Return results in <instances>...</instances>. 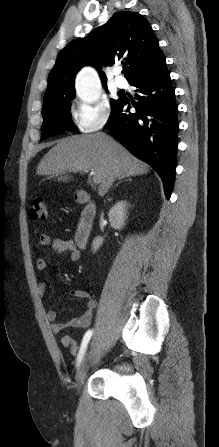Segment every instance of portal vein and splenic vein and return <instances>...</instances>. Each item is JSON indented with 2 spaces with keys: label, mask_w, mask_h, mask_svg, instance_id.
Instances as JSON below:
<instances>
[{
  "label": "portal vein and splenic vein",
  "mask_w": 219,
  "mask_h": 447,
  "mask_svg": "<svg viewBox=\"0 0 219 447\" xmlns=\"http://www.w3.org/2000/svg\"><path fill=\"white\" fill-rule=\"evenodd\" d=\"M92 174L94 175V172H92ZM93 182L95 183V184H98V181L93 177Z\"/></svg>",
  "instance_id": "18ae733b"
}]
</instances>
